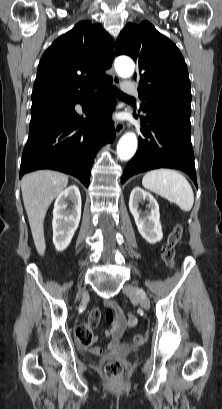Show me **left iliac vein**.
I'll list each match as a JSON object with an SVG mask.
<instances>
[{
  "mask_svg": "<svg viewBox=\"0 0 222 409\" xmlns=\"http://www.w3.org/2000/svg\"><path fill=\"white\" fill-rule=\"evenodd\" d=\"M123 292L130 299L138 301L144 309L150 308L148 297L142 289L128 284L124 286Z\"/></svg>",
  "mask_w": 222,
  "mask_h": 409,
  "instance_id": "4c4485c4",
  "label": "left iliac vein"
}]
</instances>
